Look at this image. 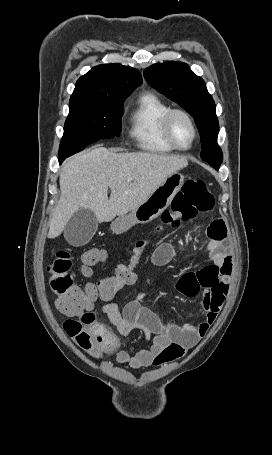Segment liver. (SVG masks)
Returning <instances> with one entry per match:
<instances>
[{"mask_svg": "<svg viewBox=\"0 0 272 455\" xmlns=\"http://www.w3.org/2000/svg\"><path fill=\"white\" fill-rule=\"evenodd\" d=\"M187 165L185 157L117 153L102 146L75 155L60 172L61 196L47 237H58L81 208L92 211L100 223L127 214L146 201L171 174Z\"/></svg>", "mask_w": 272, "mask_h": 455, "instance_id": "obj_1", "label": "liver"}]
</instances>
